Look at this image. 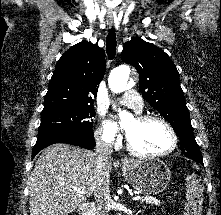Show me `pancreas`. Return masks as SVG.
Here are the masks:
<instances>
[{"instance_id":"obj_1","label":"pancreas","mask_w":221,"mask_h":215,"mask_svg":"<svg viewBox=\"0 0 221 215\" xmlns=\"http://www.w3.org/2000/svg\"><path fill=\"white\" fill-rule=\"evenodd\" d=\"M140 202L141 203L145 202L146 204L155 205V206H160L162 204L160 200L151 196L143 197Z\"/></svg>"}]
</instances>
